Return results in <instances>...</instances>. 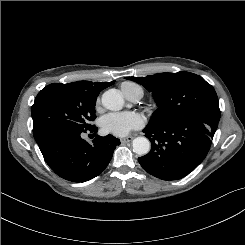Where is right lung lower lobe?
Listing matches in <instances>:
<instances>
[{
    "mask_svg": "<svg viewBox=\"0 0 245 245\" xmlns=\"http://www.w3.org/2000/svg\"><path fill=\"white\" fill-rule=\"evenodd\" d=\"M97 130L94 126L89 131L96 134ZM81 133L54 130L37 142L49 167L61 178L73 182H84L98 176L120 144L119 139L109 134L105 137L97 135L91 145L81 138Z\"/></svg>",
    "mask_w": 245,
    "mask_h": 245,
    "instance_id": "1",
    "label": "right lung lower lobe"
}]
</instances>
